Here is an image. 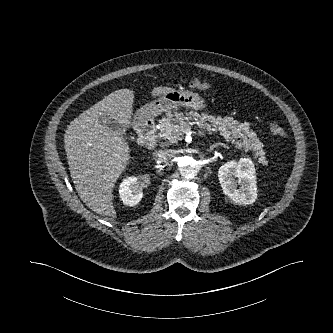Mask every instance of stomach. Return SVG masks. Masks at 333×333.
<instances>
[{
    "label": "stomach",
    "mask_w": 333,
    "mask_h": 333,
    "mask_svg": "<svg viewBox=\"0 0 333 333\" xmlns=\"http://www.w3.org/2000/svg\"><path fill=\"white\" fill-rule=\"evenodd\" d=\"M179 106L199 110L205 107V101L197 93L172 89L140 108L135 119L143 121L147 118H154Z\"/></svg>",
    "instance_id": "stomach-1"
}]
</instances>
